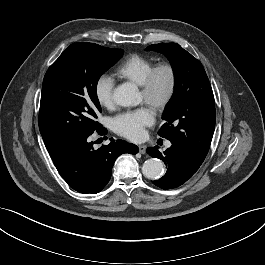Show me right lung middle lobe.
Returning <instances> with one entry per match:
<instances>
[{
	"label": "right lung middle lobe",
	"instance_id": "obj_1",
	"mask_svg": "<svg viewBox=\"0 0 265 265\" xmlns=\"http://www.w3.org/2000/svg\"><path fill=\"white\" fill-rule=\"evenodd\" d=\"M123 52L93 43H74L49 67L39 111V129L47 150L101 127L96 122L102 111L97 82Z\"/></svg>",
	"mask_w": 265,
	"mask_h": 265
}]
</instances>
